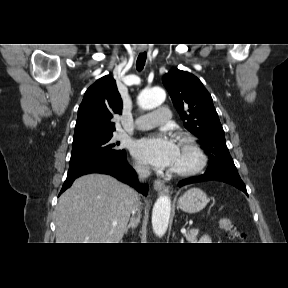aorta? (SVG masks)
I'll use <instances>...</instances> for the list:
<instances>
[{"label":"aorta","instance_id":"762f6f07","mask_svg":"<svg viewBox=\"0 0 288 288\" xmlns=\"http://www.w3.org/2000/svg\"><path fill=\"white\" fill-rule=\"evenodd\" d=\"M166 98L165 91L161 88H153L142 91L138 96V104L142 109L150 110L161 105ZM171 212V200L168 196L157 199L152 210V227L154 233L162 237L168 228Z\"/></svg>","mask_w":288,"mask_h":288}]
</instances>
